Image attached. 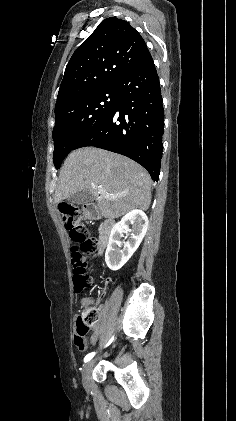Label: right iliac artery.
<instances>
[{
	"mask_svg": "<svg viewBox=\"0 0 236 421\" xmlns=\"http://www.w3.org/2000/svg\"><path fill=\"white\" fill-rule=\"evenodd\" d=\"M113 340H114V336L106 344V347L109 346L112 343ZM94 355H95V352H92V353H89L88 355H86L85 358H84V362L86 363V362L90 361L94 357Z\"/></svg>",
	"mask_w": 236,
	"mask_h": 421,
	"instance_id": "right-iliac-artery-1",
	"label": "right iliac artery"
}]
</instances>
